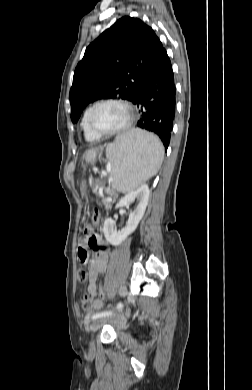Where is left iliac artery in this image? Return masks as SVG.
Returning <instances> with one entry per match:
<instances>
[{
  "mask_svg": "<svg viewBox=\"0 0 252 390\" xmlns=\"http://www.w3.org/2000/svg\"><path fill=\"white\" fill-rule=\"evenodd\" d=\"M123 307V304L122 302H119L117 305H116V309L119 310ZM113 313V311H102V312H99V313H96L92 316V319L95 320L97 318H102V317H105V316H108V315H111Z\"/></svg>",
  "mask_w": 252,
  "mask_h": 390,
  "instance_id": "1",
  "label": "left iliac artery"
}]
</instances>
